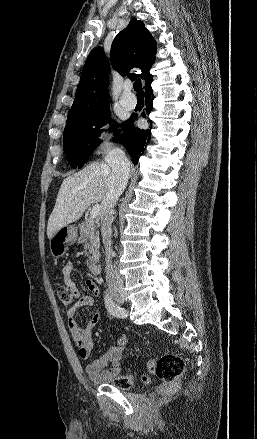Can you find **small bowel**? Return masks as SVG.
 <instances>
[{
	"mask_svg": "<svg viewBox=\"0 0 257 439\" xmlns=\"http://www.w3.org/2000/svg\"><path fill=\"white\" fill-rule=\"evenodd\" d=\"M72 273L73 265L71 263L65 264L62 268L64 284L73 291L77 298L75 304L68 309L66 314L68 328L78 348L79 356L84 360H88L93 351L92 333L100 320V313L96 312L84 327L78 324L76 320L78 311L83 307L92 306L94 300L87 295L80 296L77 285L72 278ZM88 287L95 295L100 294V289L94 281L89 280ZM127 344V337L122 335L117 339L116 344L111 346L105 354L97 359L88 361L85 369L89 379L95 383H106L115 378L121 371V364Z\"/></svg>",
	"mask_w": 257,
	"mask_h": 439,
	"instance_id": "small-bowel-1",
	"label": "small bowel"
}]
</instances>
